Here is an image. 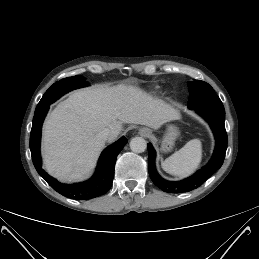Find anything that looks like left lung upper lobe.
Returning <instances> with one entry per match:
<instances>
[{
	"label": "left lung upper lobe",
	"mask_w": 259,
	"mask_h": 259,
	"mask_svg": "<svg viewBox=\"0 0 259 259\" xmlns=\"http://www.w3.org/2000/svg\"><path fill=\"white\" fill-rule=\"evenodd\" d=\"M190 97L188 107L221 103L213 88L206 82L196 80L188 83Z\"/></svg>",
	"instance_id": "left-lung-upper-lobe-1"
}]
</instances>
